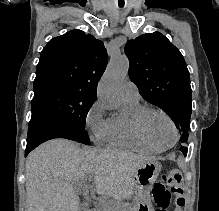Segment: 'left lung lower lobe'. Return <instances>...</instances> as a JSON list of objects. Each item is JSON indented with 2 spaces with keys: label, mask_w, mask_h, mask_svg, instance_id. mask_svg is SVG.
I'll return each instance as SVG.
<instances>
[{
  "label": "left lung lower lobe",
  "mask_w": 219,
  "mask_h": 211,
  "mask_svg": "<svg viewBox=\"0 0 219 211\" xmlns=\"http://www.w3.org/2000/svg\"><path fill=\"white\" fill-rule=\"evenodd\" d=\"M180 149L183 152L184 156H186L187 155V148L186 147H181Z\"/></svg>",
  "instance_id": "left-lung-lower-lobe-1"
}]
</instances>
